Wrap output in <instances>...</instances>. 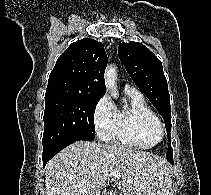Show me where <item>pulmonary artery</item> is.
<instances>
[{"label":"pulmonary artery","instance_id":"pulmonary-artery-1","mask_svg":"<svg viewBox=\"0 0 211 195\" xmlns=\"http://www.w3.org/2000/svg\"><path fill=\"white\" fill-rule=\"evenodd\" d=\"M126 93H139L134 87L126 84L124 87Z\"/></svg>","mask_w":211,"mask_h":195}]
</instances>
